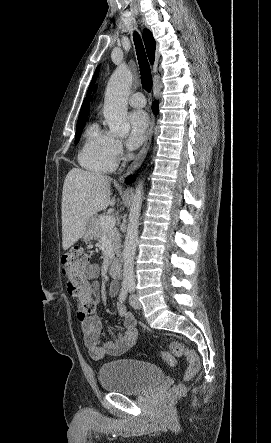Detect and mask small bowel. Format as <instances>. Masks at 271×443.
Instances as JSON below:
<instances>
[{"instance_id": "small-bowel-1", "label": "small bowel", "mask_w": 271, "mask_h": 443, "mask_svg": "<svg viewBox=\"0 0 271 443\" xmlns=\"http://www.w3.org/2000/svg\"><path fill=\"white\" fill-rule=\"evenodd\" d=\"M101 269L98 264H91L84 270L85 277L90 281H93V297L95 305L97 306L100 291L98 278L100 277ZM118 292V286L112 284L109 293L111 296H116ZM79 312L78 319L81 324V329L84 333V342L87 346L90 356L93 359L100 360L106 356H119L124 354L130 349L137 339V326L135 318L131 313L126 311L123 305L118 304V314L122 318L124 323V331L119 334H112L106 339L102 338V324L96 314V310L93 313L88 314L83 309V306L78 303Z\"/></svg>"}]
</instances>
